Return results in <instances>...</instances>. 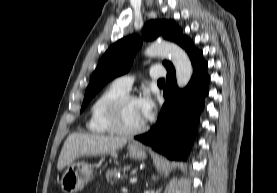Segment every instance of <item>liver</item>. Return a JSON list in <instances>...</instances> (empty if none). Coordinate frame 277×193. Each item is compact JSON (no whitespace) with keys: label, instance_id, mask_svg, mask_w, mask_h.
Instances as JSON below:
<instances>
[{"label":"liver","instance_id":"6515ba94","mask_svg":"<svg viewBox=\"0 0 277 193\" xmlns=\"http://www.w3.org/2000/svg\"><path fill=\"white\" fill-rule=\"evenodd\" d=\"M127 143L126 138L104 136L100 134H70L59 155L57 169L63 170L82 156H97L112 153Z\"/></svg>","mask_w":277,"mask_h":193}]
</instances>
